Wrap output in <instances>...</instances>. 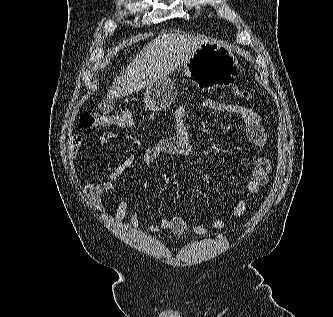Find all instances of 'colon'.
<instances>
[{"label": "colon", "instance_id": "1", "mask_svg": "<svg viewBox=\"0 0 333 317\" xmlns=\"http://www.w3.org/2000/svg\"><path fill=\"white\" fill-rule=\"evenodd\" d=\"M234 94L242 100H250L252 95L245 90L234 89ZM133 123V115L127 108H122L121 112L116 115H106L97 112L84 113L80 118V124L86 129L97 127L117 126L128 128Z\"/></svg>", "mask_w": 333, "mask_h": 317}]
</instances>
